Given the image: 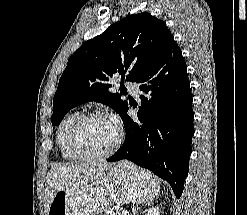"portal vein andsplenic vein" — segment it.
I'll return each instance as SVG.
<instances>
[{"label":"portal vein and splenic vein","instance_id":"portal-vein-and-splenic-vein-1","mask_svg":"<svg viewBox=\"0 0 247 215\" xmlns=\"http://www.w3.org/2000/svg\"><path fill=\"white\" fill-rule=\"evenodd\" d=\"M122 215H129V212H128V211L123 210V211H122Z\"/></svg>","mask_w":247,"mask_h":215}]
</instances>
